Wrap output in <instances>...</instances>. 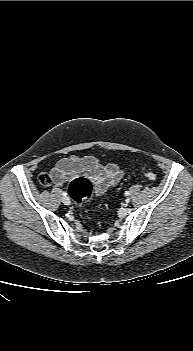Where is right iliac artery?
<instances>
[{
    "instance_id": "obj_1",
    "label": "right iliac artery",
    "mask_w": 193,
    "mask_h": 351,
    "mask_svg": "<svg viewBox=\"0 0 193 351\" xmlns=\"http://www.w3.org/2000/svg\"><path fill=\"white\" fill-rule=\"evenodd\" d=\"M62 195H63V196H66V195H67V193H66V192H63V193H62Z\"/></svg>"
}]
</instances>
